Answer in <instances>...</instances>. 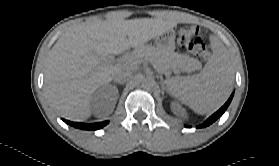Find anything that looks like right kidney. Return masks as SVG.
Returning a JSON list of instances; mask_svg holds the SVG:
<instances>
[{
    "label": "right kidney",
    "instance_id": "obj_1",
    "mask_svg": "<svg viewBox=\"0 0 279 166\" xmlns=\"http://www.w3.org/2000/svg\"><path fill=\"white\" fill-rule=\"evenodd\" d=\"M117 98H118L117 90L113 91L112 89L105 87L94 93V95L92 96V102L99 103L102 101H107L109 99H113L114 101H116Z\"/></svg>",
    "mask_w": 279,
    "mask_h": 166
}]
</instances>
